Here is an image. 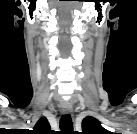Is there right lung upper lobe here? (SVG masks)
Segmentation results:
<instances>
[{"instance_id": "right-lung-upper-lobe-1", "label": "right lung upper lobe", "mask_w": 137, "mask_h": 134, "mask_svg": "<svg viewBox=\"0 0 137 134\" xmlns=\"http://www.w3.org/2000/svg\"><path fill=\"white\" fill-rule=\"evenodd\" d=\"M31 132L32 134H49L50 125L48 120L45 117L40 118Z\"/></svg>"}]
</instances>
